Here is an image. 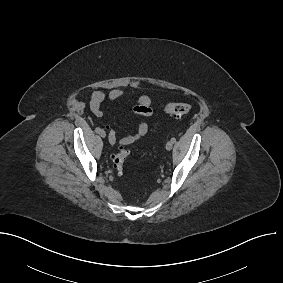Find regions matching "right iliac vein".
Segmentation results:
<instances>
[{
    "label": "right iliac vein",
    "mask_w": 283,
    "mask_h": 283,
    "mask_svg": "<svg viewBox=\"0 0 283 283\" xmlns=\"http://www.w3.org/2000/svg\"><path fill=\"white\" fill-rule=\"evenodd\" d=\"M99 134H100V136H101L102 138H105V137H106V133H105L104 130H102Z\"/></svg>",
    "instance_id": "right-iliac-vein-1"
}]
</instances>
